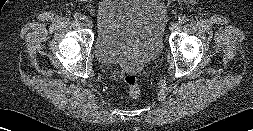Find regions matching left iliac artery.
Here are the masks:
<instances>
[{"mask_svg": "<svg viewBox=\"0 0 253 131\" xmlns=\"http://www.w3.org/2000/svg\"><path fill=\"white\" fill-rule=\"evenodd\" d=\"M178 20H179V23L184 24L188 21V17L187 16H181V17H179Z\"/></svg>", "mask_w": 253, "mask_h": 131, "instance_id": "left-iliac-artery-1", "label": "left iliac artery"}]
</instances>
